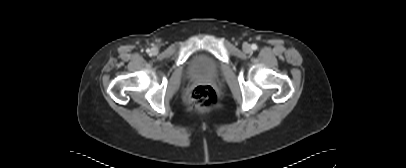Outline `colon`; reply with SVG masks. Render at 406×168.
I'll return each instance as SVG.
<instances>
[{
	"label": "colon",
	"instance_id": "colon-1",
	"mask_svg": "<svg viewBox=\"0 0 406 168\" xmlns=\"http://www.w3.org/2000/svg\"><path fill=\"white\" fill-rule=\"evenodd\" d=\"M216 103V94L212 86L207 84L196 85L190 95L188 104L192 110H205Z\"/></svg>",
	"mask_w": 406,
	"mask_h": 168
}]
</instances>
